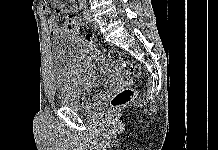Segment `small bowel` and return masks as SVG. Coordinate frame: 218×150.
<instances>
[{"instance_id":"c3829d8e","label":"small bowel","mask_w":218,"mask_h":150,"mask_svg":"<svg viewBox=\"0 0 218 150\" xmlns=\"http://www.w3.org/2000/svg\"><path fill=\"white\" fill-rule=\"evenodd\" d=\"M61 1L62 0H44L43 2V11L48 16V26L51 36H62L68 33L65 27L59 26L56 22L57 15L64 12ZM66 1L71 5L75 4V0H66ZM51 3L56 6V10L54 12L51 11V6H50Z\"/></svg>"}]
</instances>
